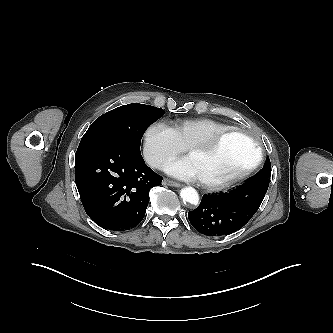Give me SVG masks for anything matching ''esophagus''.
I'll return each instance as SVG.
<instances>
[{
	"label": "esophagus",
	"mask_w": 333,
	"mask_h": 333,
	"mask_svg": "<svg viewBox=\"0 0 333 333\" xmlns=\"http://www.w3.org/2000/svg\"><path fill=\"white\" fill-rule=\"evenodd\" d=\"M163 184L168 185V186H172V187H181L182 186L180 183L169 180V179H164Z\"/></svg>",
	"instance_id": "1"
}]
</instances>
